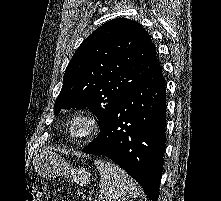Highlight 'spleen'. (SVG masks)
<instances>
[{
  "mask_svg": "<svg viewBox=\"0 0 221 201\" xmlns=\"http://www.w3.org/2000/svg\"><path fill=\"white\" fill-rule=\"evenodd\" d=\"M94 164L101 175L97 201H126L137 196L135 184L122 168L106 160H95Z\"/></svg>",
  "mask_w": 221,
  "mask_h": 201,
  "instance_id": "spleen-1",
  "label": "spleen"
}]
</instances>
